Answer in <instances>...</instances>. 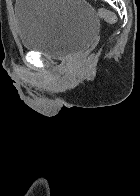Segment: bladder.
<instances>
[{
  "instance_id": "obj_1",
  "label": "bladder",
  "mask_w": 140,
  "mask_h": 196,
  "mask_svg": "<svg viewBox=\"0 0 140 196\" xmlns=\"http://www.w3.org/2000/svg\"><path fill=\"white\" fill-rule=\"evenodd\" d=\"M14 14L25 51L65 60L87 50L99 21L85 0H16Z\"/></svg>"
}]
</instances>
